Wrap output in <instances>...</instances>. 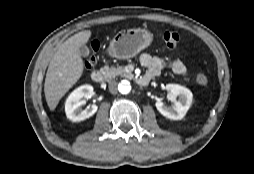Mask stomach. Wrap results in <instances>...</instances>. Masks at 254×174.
Masks as SVG:
<instances>
[{
    "mask_svg": "<svg viewBox=\"0 0 254 174\" xmlns=\"http://www.w3.org/2000/svg\"><path fill=\"white\" fill-rule=\"evenodd\" d=\"M153 41L147 29L132 28L118 32L111 40L108 54L117 59H128L137 55Z\"/></svg>",
    "mask_w": 254,
    "mask_h": 174,
    "instance_id": "obj_1",
    "label": "stomach"
}]
</instances>
